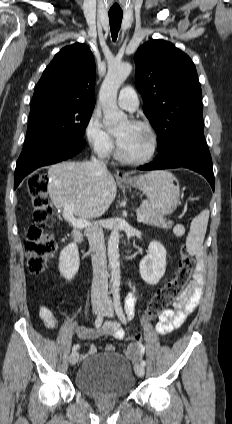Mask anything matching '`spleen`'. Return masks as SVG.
I'll return each instance as SVG.
<instances>
[{"label": "spleen", "mask_w": 232, "mask_h": 424, "mask_svg": "<svg viewBox=\"0 0 232 424\" xmlns=\"http://www.w3.org/2000/svg\"><path fill=\"white\" fill-rule=\"evenodd\" d=\"M209 220V210H203L191 222L190 232L186 238V247L190 255L196 254L202 247Z\"/></svg>", "instance_id": "1"}]
</instances>
